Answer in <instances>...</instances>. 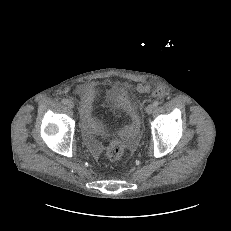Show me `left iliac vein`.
Returning <instances> with one entry per match:
<instances>
[{
    "instance_id": "obj_1",
    "label": "left iliac vein",
    "mask_w": 231,
    "mask_h": 231,
    "mask_svg": "<svg viewBox=\"0 0 231 231\" xmlns=\"http://www.w3.org/2000/svg\"><path fill=\"white\" fill-rule=\"evenodd\" d=\"M154 110V106L153 104H149L147 107H146V113L147 114H151Z\"/></svg>"
}]
</instances>
